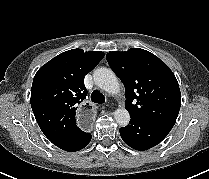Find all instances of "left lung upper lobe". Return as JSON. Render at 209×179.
<instances>
[{"instance_id": "5c2ea615", "label": "left lung upper lobe", "mask_w": 209, "mask_h": 179, "mask_svg": "<svg viewBox=\"0 0 209 179\" xmlns=\"http://www.w3.org/2000/svg\"><path fill=\"white\" fill-rule=\"evenodd\" d=\"M106 59L125 86V108L130 115L173 127L181 106V94L170 68L140 48L110 52Z\"/></svg>"}]
</instances>
